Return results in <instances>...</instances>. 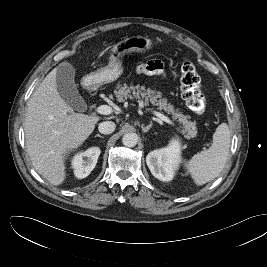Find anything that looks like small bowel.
I'll return each mask as SVG.
<instances>
[{"instance_id": "small-bowel-1", "label": "small bowel", "mask_w": 267, "mask_h": 267, "mask_svg": "<svg viewBox=\"0 0 267 267\" xmlns=\"http://www.w3.org/2000/svg\"><path fill=\"white\" fill-rule=\"evenodd\" d=\"M136 70L144 74H161L163 72V64L157 60L139 63L136 66Z\"/></svg>"}]
</instances>
